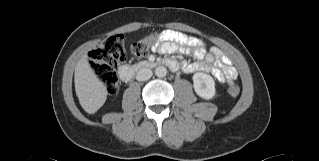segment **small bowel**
I'll return each mask as SVG.
<instances>
[{"label":"small bowel","mask_w":319,"mask_h":161,"mask_svg":"<svg viewBox=\"0 0 319 161\" xmlns=\"http://www.w3.org/2000/svg\"><path fill=\"white\" fill-rule=\"evenodd\" d=\"M159 37L160 44L155 48L157 52L162 54L179 52L189 54L197 60L196 62H183L182 70L184 72H211L219 82L223 83H233L237 79V69L218 48L212 47L207 51L202 40L175 30H165L161 32Z\"/></svg>","instance_id":"c3829d8e"}]
</instances>
